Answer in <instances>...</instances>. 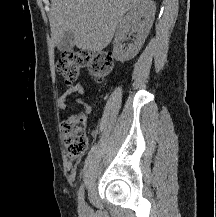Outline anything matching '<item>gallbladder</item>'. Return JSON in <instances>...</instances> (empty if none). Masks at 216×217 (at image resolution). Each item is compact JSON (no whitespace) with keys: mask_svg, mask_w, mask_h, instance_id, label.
Returning <instances> with one entry per match:
<instances>
[{"mask_svg":"<svg viewBox=\"0 0 216 217\" xmlns=\"http://www.w3.org/2000/svg\"><path fill=\"white\" fill-rule=\"evenodd\" d=\"M75 45L74 33L67 32L60 43L58 44V49L60 51H68L71 50Z\"/></svg>","mask_w":216,"mask_h":217,"instance_id":"bac80fb5","label":"gallbladder"}]
</instances>
